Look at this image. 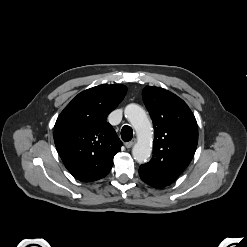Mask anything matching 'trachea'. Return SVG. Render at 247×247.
I'll return each instance as SVG.
<instances>
[{"label":"trachea","instance_id":"obj_1","mask_svg":"<svg viewBox=\"0 0 247 247\" xmlns=\"http://www.w3.org/2000/svg\"><path fill=\"white\" fill-rule=\"evenodd\" d=\"M121 137L122 140L125 142H128L132 139L133 137V130L130 126H123L122 130H121Z\"/></svg>","mask_w":247,"mask_h":247}]
</instances>
